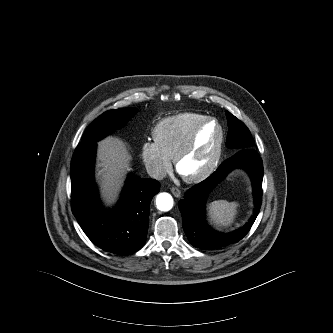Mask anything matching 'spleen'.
Returning <instances> with one entry per match:
<instances>
[{"label": "spleen", "mask_w": 333, "mask_h": 333, "mask_svg": "<svg viewBox=\"0 0 333 333\" xmlns=\"http://www.w3.org/2000/svg\"><path fill=\"white\" fill-rule=\"evenodd\" d=\"M238 205L237 202H228L226 200L211 202L208 205L211 220L218 226L229 227L235 220Z\"/></svg>", "instance_id": "3e777b00"}]
</instances>
